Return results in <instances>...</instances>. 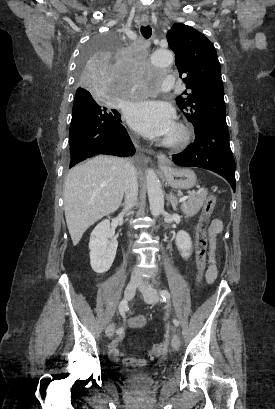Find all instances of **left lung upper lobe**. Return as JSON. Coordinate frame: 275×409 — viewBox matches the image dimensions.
<instances>
[{"mask_svg": "<svg viewBox=\"0 0 275 409\" xmlns=\"http://www.w3.org/2000/svg\"><path fill=\"white\" fill-rule=\"evenodd\" d=\"M175 64L189 92L176 98L178 107L195 131L211 122L226 123L221 68L213 44L199 31L175 23L167 32Z\"/></svg>", "mask_w": 275, "mask_h": 409, "instance_id": "5c2ea615", "label": "left lung upper lobe"}]
</instances>
